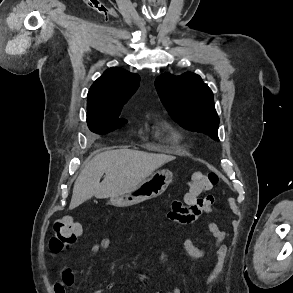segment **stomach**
I'll list each match as a JSON object with an SVG mask.
<instances>
[{
  "label": "stomach",
  "instance_id": "obj_1",
  "mask_svg": "<svg viewBox=\"0 0 293 293\" xmlns=\"http://www.w3.org/2000/svg\"><path fill=\"white\" fill-rule=\"evenodd\" d=\"M172 177V172L168 170L157 171L136 187L111 197L110 202L116 207H128L156 198L165 192L172 182Z\"/></svg>",
  "mask_w": 293,
  "mask_h": 293
}]
</instances>
